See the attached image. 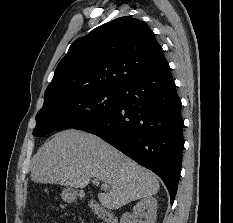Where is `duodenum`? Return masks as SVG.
Returning a JSON list of instances; mask_svg holds the SVG:
<instances>
[{"mask_svg": "<svg viewBox=\"0 0 233 223\" xmlns=\"http://www.w3.org/2000/svg\"><path fill=\"white\" fill-rule=\"evenodd\" d=\"M89 207L104 223H118L116 216L95 200L89 201Z\"/></svg>", "mask_w": 233, "mask_h": 223, "instance_id": "duodenum-1", "label": "duodenum"}]
</instances>
